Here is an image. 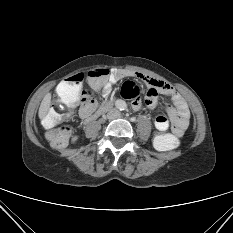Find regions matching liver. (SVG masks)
Here are the masks:
<instances>
[{"instance_id": "6515ba94", "label": "liver", "mask_w": 233, "mask_h": 233, "mask_svg": "<svg viewBox=\"0 0 233 233\" xmlns=\"http://www.w3.org/2000/svg\"><path fill=\"white\" fill-rule=\"evenodd\" d=\"M51 93H47L42 102H41V105H40V108H39V112H38V116L39 118L42 120L45 118L49 108H50V105H51Z\"/></svg>"}]
</instances>
